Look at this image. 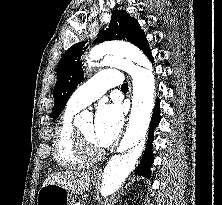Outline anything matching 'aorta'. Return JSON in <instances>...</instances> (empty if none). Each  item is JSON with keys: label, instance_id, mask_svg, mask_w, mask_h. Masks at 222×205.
<instances>
[{"label": "aorta", "instance_id": "aorta-1", "mask_svg": "<svg viewBox=\"0 0 222 205\" xmlns=\"http://www.w3.org/2000/svg\"><path fill=\"white\" fill-rule=\"evenodd\" d=\"M100 53L104 54L96 66H116L126 70L133 78V103L131 119L117 153L104 168L98 188L102 198L114 195L141 158L148 137V130L156 99L155 79L152 65L147 57L134 45L121 42L103 44ZM92 119L89 111H83L80 119Z\"/></svg>", "mask_w": 222, "mask_h": 205}]
</instances>
